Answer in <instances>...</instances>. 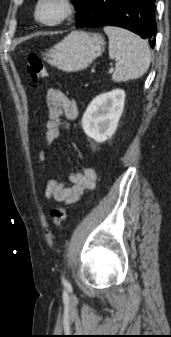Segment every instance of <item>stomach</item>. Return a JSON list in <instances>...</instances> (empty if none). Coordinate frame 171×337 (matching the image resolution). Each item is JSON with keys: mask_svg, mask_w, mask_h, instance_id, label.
<instances>
[{"mask_svg": "<svg viewBox=\"0 0 171 337\" xmlns=\"http://www.w3.org/2000/svg\"><path fill=\"white\" fill-rule=\"evenodd\" d=\"M104 45L99 34L73 31L45 54V60L65 72L81 71L103 53Z\"/></svg>", "mask_w": 171, "mask_h": 337, "instance_id": "0dacf381", "label": "stomach"}]
</instances>
